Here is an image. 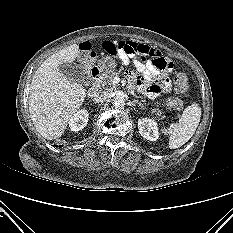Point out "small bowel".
<instances>
[{"instance_id": "small-bowel-1", "label": "small bowel", "mask_w": 233, "mask_h": 233, "mask_svg": "<svg viewBox=\"0 0 233 233\" xmlns=\"http://www.w3.org/2000/svg\"><path fill=\"white\" fill-rule=\"evenodd\" d=\"M99 48L117 56L125 65L133 64L137 72L130 71L127 77L148 97L155 99L161 92L169 91L168 75L173 65L160 51L132 41H104L100 45L84 41L79 45L84 61L92 60Z\"/></svg>"}]
</instances>
